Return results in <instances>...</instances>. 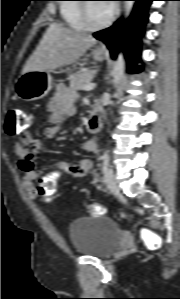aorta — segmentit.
<instances>
[{"instance_id": "aorta-1", "label": "aorta", "mask_w": 180, "mask_h": 299, "mask_svg": "<svg viewBox=\"0 0 180 299\" xmlns=\"http://www.w3.org/2000/svg\"><path fill=\"white\" fill-rule=\"evenodd\" d=\"M134 6V1H125V18H127ZM124 68H125V59L122 52H120L115 60L114 69H113V82L117 86L124 76Z\"/></svg>"}]
</instances>
